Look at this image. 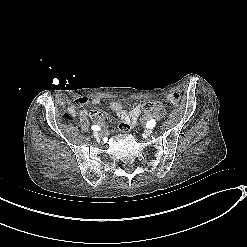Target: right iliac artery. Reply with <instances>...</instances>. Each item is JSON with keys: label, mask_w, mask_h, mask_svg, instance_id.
Listing matches in <instances>:
<instances>
[{"label": "right iliac artery", "mask_w": 247, "mask_h": 247, "mask_svg": "<svg viewBox=\"0 0 247 247\" xmlns=\"http://www.w3.org/2000/svg\"><path fill=\"white\" fill-rule=\"evenodd\" d=\"M91 128H92V130H94V131L100 130V127L97 126V125H93Z\"/></svg>", "instance_id": "obj_1"}]
</instances>
